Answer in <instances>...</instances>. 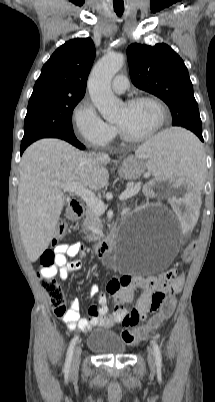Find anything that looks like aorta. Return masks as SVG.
Listing matches in <instances>:
<instances>
[{"mask_svg": "<svg viewBox=\"0 0 215 402\" xmlns=\"http://www.w3.org/2000/svg\"><path fill=\"white\" fill-rule=\"evenodd\" d=\"M123 65L124 56L122 54L108 53L96 63L88 79L87 86L91 100L107 121L114 119L120 109L121 101L111 90V80ZM123 262L124 258L120 257L114 262V265L120 267Z\"/></svg>", "mask_w": 215, "mask_h": 402, "instance_id": "obj_1", "label": "aorta"}]
</instances>
